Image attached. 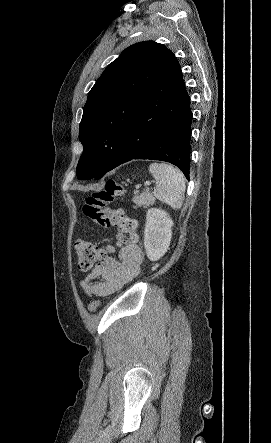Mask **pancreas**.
I'll use <instances>...</instances> for the list:
<instances>
[{"instance_id": "obj_1", "label": "pancreas", "mask_w": 271, "mask_h": 443, "mask_svg": "<svg viewBox=\"0 0 271 443\" xmlns=\"http://www.w3.org/2000/svg\"><path fill=\"white\" fill-rule=\"evenodd\" d=\"M133 202L136 206H140V208H147V206H152V204H154L155 198H153L149 190H145L140 196H135Z\"/></svg>"}]
</instances>
